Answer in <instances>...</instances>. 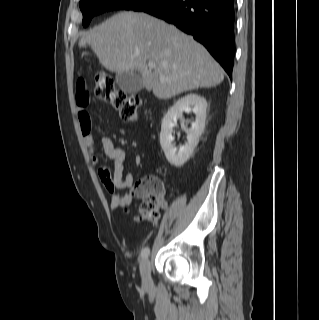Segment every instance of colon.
<instances>
[{"mask_svg": "<svg viewBox=\"0 0 319 320\" xmlns=\"http://www.w3.org/2000/svg\"><path fill=\"white\" fill-rule=\"evenodd\" d=\"M94 79L96 96L113 106L124 122H136L142 99L137 95H128L126 92L119 90L112 77L105 72H97ZM106 175V173H102V177ZM135 192L138 196L144 197L140 206L139 218L147 222H157L159 209L163 205L161 183L157 178L148 176L135 185Z\"/></svg>", "mask_w": 319, "mask_h": 320, "instance_id": "colon-1", "label": "colon"}]
</instances>
